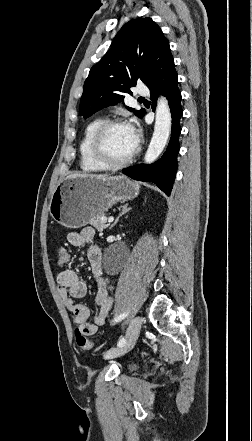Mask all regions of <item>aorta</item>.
Listing matches in <instances>:
<instances>
[{
    "label": "aorta",
    "instance_id": "1",
    "mask_svg": "<svg viewBox=\"0 0 252 441\" xmlns=\"http://www.w3.org/2000/svg\"><path fill=\"white\" fill-rule=\"evenodd\" d=\"M171 112L166 98L157 102L154 133L144 157V162H154L164 150L171 131Z\"/></svg>",
    "mask_w": 252,
    "mask_h": 441
}]
</instances>
